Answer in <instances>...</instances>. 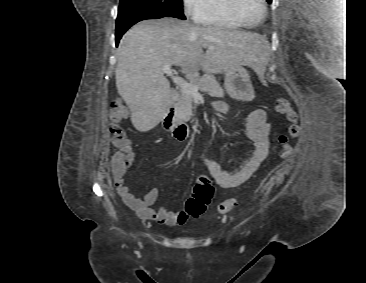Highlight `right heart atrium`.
Returning a JSON list of instances; mask_svg holds the SVG:
<instances>
[{"label":"right heart atrium","mask_w":366,"mask_h":283,"mask_svg":"<svg viewBox=\"0 0 366 283\" xmlns=\"http://www.w3.org/2000/svg\"><path fill=\"white\" fill-rule=\"evenodd\" d=\"M206 3L207 0H182L185 14L194 20H198L204 13Z\"/></svg>","instance_id":"1"}]
</instances>
